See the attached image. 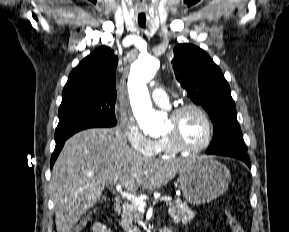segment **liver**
I'll use <instances>...</instances> for the list:
<instances>
[{
	"label": "liver",
	"mask_w": 289,
	"mask_h": 232,
	"mask_svg": "<svg viewBox=\"0 0 289 232\" xmlns=\"http://www.w3.org/2000/svg\"><path fill=\"white\" fill-rule=\"evenodd\" d=\"M188 159H152L132 151L117 128H94L69 138L51 175L57 232H70L101 198L105 186L155 190L171 181Z\"/></svg>",
	"instance_id": "obj_1"
}]
</instances>
